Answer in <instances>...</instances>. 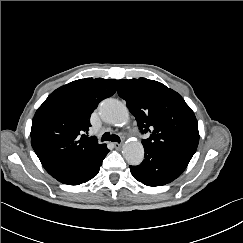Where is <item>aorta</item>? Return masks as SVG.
<instances>
[{
	"label": "aorta",
	"instance_id": "aorta-1",
	"mask_svg": "<svg viewBox=\"0 0 243 243\" xmlns=\"http://www.w3.org/2000/svg\"><path fill=\"white\" fill-rule=\"evenodd\" d=\"M99 111L102 119L114 126L124 125L129 121V111L125 104L116 99H106L101 102ZM125 160L130 165H139L144 158V148L137 140H128L122 150Z\"/></svg>",
	"mask_w": 243,
	"mask_h": 243
}]
</instances>
